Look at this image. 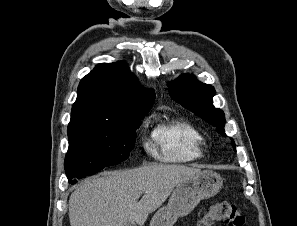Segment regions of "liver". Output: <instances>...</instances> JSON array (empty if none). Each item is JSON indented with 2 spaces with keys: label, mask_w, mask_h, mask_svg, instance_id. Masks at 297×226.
<instances>
[{
  "label": "liver",
  "mask_w": 297,
  "mask_h": 226,
  "mask_svg": "<svg viewBox=\"0 0 297 226\" xmlns=\"http://www.w3.org/2000/svg\"><path fill=\"white\" fill-rule=\"evenodd\" d=\"M200 173L182 165L153 164L86 179L70 196V225L124 226L131 221L143 226L180 181Z\"/></svg>",
  "instance_id": "obj_1"
}]
</instances>
